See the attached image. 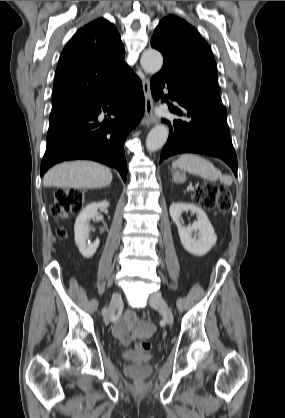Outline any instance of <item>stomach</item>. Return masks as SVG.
Returning <instances> with one entry per match:
<instances>
[{"mask_svg": "<svg viewBox=\"0 0 285 418\" xmlns=\"http://www.w3.org/2000/svg\"><path fill=\"white\" fill-rule=\"evenodd\" d=\"M172 177H173V181L176 183H183L186 180L185 172L177 168L172 169Z\"/></svg>", "mask_w": 285, "mask_h": 418, "instance_id": "stomach-1", "label": "stomach"}]
</instances>
